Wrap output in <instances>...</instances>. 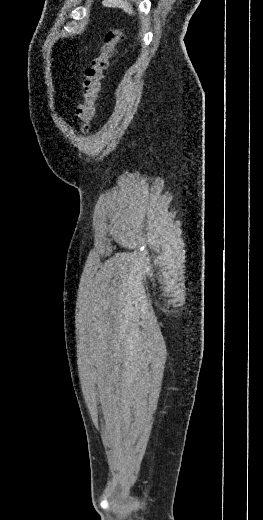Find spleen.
I'll list each match as a JSON object with an SVG mask.
<instances>
[{"mask_svg":"<svg viewBox=\"0 0 263 520\" xmlns=\"http://www.w3.org/2000/svg\"><path fill=\"white\" fill-rule=\"evenodd\" d=\"M102 4L104 7H118L130 15L134 14L132 6L124 0H103Z\"/></svg>","mask_w":263,"mask_h":520,"instance_id":"1","label":"spleen"}]
</instances>
